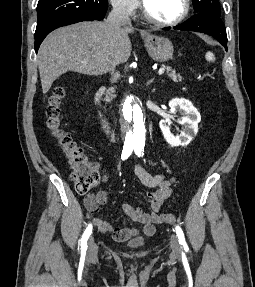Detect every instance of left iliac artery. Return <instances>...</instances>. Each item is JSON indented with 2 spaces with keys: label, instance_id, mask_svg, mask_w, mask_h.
Instances as JSON below:
<instances>
[{
  "label": "left iliac artery",
  "instance_id": "obj_1",
  "mask_svg": "<svg viewBox=\"0 0 255 287\" xmlns=\"http://www.w3.org/2000/svg\"><path fill=\"white\" fill-rule=\"evenodd\" d=\"M135 153L138 157L143 156V149L141 147H136L135 149ZM176 233L179 239V243L182 246H186V242H185V238H184V233L182 231V229L179 226H176Z\"/></svg>",
  "mask_w": 255,
  "mask_h": 287
}]
</instances>
